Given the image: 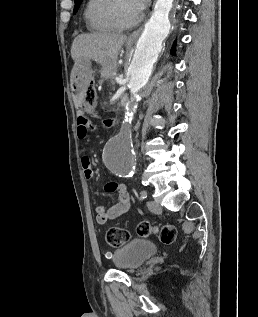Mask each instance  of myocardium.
<instances>
[{
    "mask_svg": "<svg viewBox=\"0 0 258 317\" xmlns=\"http://www.w3.org/2000/svg\"><path fill=\"white\" fill-rule=\"evenodd\" d=\"M124 4L135 8L136 14L134 20L129 25H123L119 19V11ZM106 16L108 21L114 27L115 30H124L127 28H133L139 24L141 21V12L132 0H114L108 7Z\"/></svg>",
    "mask_w": 258,
    "mask_h": 317,
    "instance_id": "1",
    "label": "myocardium"
}]
</instances>
